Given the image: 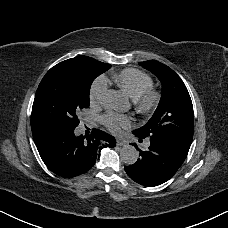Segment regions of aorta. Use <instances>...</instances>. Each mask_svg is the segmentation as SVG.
<instances>
[{
	"label": "aorta",
	"instance_id": "obj_1",
	"mask_svg": "<svg viewBox=\"0 0 228 228\" xmlns=\"http://www.w3.org/2000/svg\"><path fill=\"white\" fill-rule=\"evenodd\" d=\"M105 107L108 109H114L119 111H125L128 108L127 97L116 90H109L104 97ZM121 160L127 164H134L138 157L139 152L132 145H125L120 152Z\"/></svg>",
	"mask_w": 228,
	"mask_h": 228
}]
</instances>
